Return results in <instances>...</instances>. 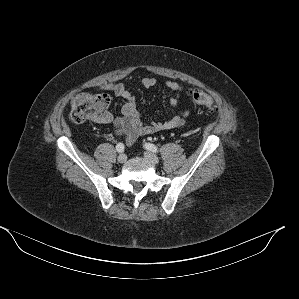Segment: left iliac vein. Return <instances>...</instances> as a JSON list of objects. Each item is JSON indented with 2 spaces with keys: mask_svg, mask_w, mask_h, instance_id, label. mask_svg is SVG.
<instances>
[{
  "mask_svg": "<svg viewBox=\"0 0 299 299\" xmlns=\"http://www.w3.org/2000/svg\"><path fill=\"white\" fill-rule=\"evenodd\" d=\"M144 157L149 160L150 162H152L153 164H158L159 163V159L156 155H154L153 153L146 151L144 153Z\"/></svg>",
  "mask_w": 299,
  "mask_h": 299,
  "instance_id": "left-iliac-vein-1",
  "label": "left iliac vein"
}]
</instances>
